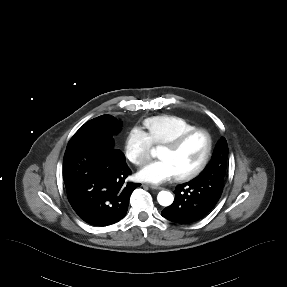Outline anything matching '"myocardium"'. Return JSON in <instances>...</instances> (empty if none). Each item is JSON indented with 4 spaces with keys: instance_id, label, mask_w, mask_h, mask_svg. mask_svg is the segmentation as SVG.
Segmentation results:
<instances>
[{
    "instance_id": "obj_1",
    "label": "myocardium",
    "mask_w": 287,
    "mask_h": 287,
    "mask_svg": "<svg viewBox=\"0 0 287 287\" xmlns=\"http://www.w3.org/2000/svg\"><path fill=\"white\" fill-rule=\"evenodd\" d=\"M197 134H203L206 138L207 147H206L205 154L201 162L194 169L190 170L187 173L176 176V179L179 181L191 180L195 178L196 176H198L206 168L212 156V152H213L214 143H213L212 135L210 134L208 130L204 128H194L188 132H185L184 134L179 136L177 139L169 143H166L164 145V148L166 149H169L171 151H178L186 144L188 140H190L193 136Z\"/></svg>"
}]
</instances>
